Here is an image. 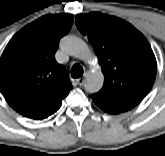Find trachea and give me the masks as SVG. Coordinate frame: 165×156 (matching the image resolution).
<instances>
[{"mask_svg":"<svg viewBox=\"0 0 165 156\" xmlns=\"http://www.w3.org/2000/svg\"><path fill=\"white\" fill-rule=\"evenodd\" d=\"M73 78H79L83 75V68L79 64H74L71 69Z\"/></svg>","mask_w":165,"mask_h":156,"instance_id":"obj_1","label":"trachea"}]
</instances>
